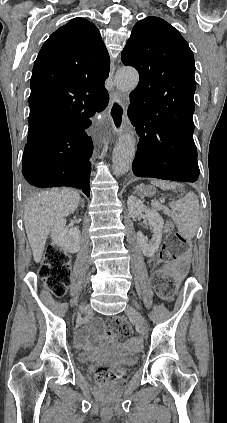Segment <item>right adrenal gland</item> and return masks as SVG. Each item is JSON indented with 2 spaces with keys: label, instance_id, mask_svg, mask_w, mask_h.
<instances>
[{
  "label": "right adrenal gland",
  "instance_id": "right-adrenal-gland-1",
  "mask_svg": "<svg viewBox=\"0 0 227 423\" xmlns=\"http://www.w3.org/2000/svg\"><path fill=\"white\" fill-rule=\"evenodd\" d=\"M81 204H82V208H84V202H83V200H81Z\"/></svg>",
  "mask_w": 227,
  "mask_h": 423
}]
</instances>
